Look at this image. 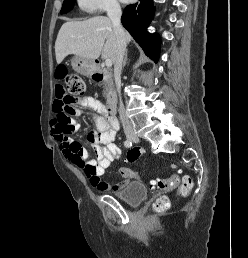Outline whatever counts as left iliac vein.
<instances>
[{"label":"left iliac vein","instance_id":"left-iliac-vein-1","mask_svg":"<svg viewBox=\"0 0 248 258\" xmlns=\"http://www.w3.org/2000/svg\"><path fill=\"white\" fill-rule=\"evenodd\" d=\"M135 143L139 142V138L133 140Z\"/></svg>","mask_w":248,"mask_h":258}]
</instances>
